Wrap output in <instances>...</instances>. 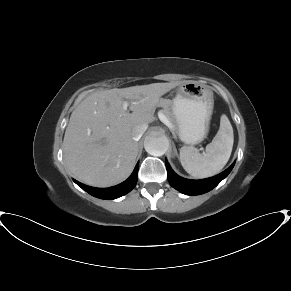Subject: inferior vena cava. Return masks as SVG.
<instances>
[{
    "label": "inferior vena cava",
    "instance_id": "602c4592",
    "mask_svg": "<svg viewBox=\"0 0 291 291\" xmlns=\"http://www.w3.org/2000/svg\"><path fill=\"white\" fill-rule=\"evenodd\" d=\"M147 126L146 125H137L132 129V138L135 141H138L144 132L146 131Z\"/></svg>",
    "mask_w": 291,
    "mask_h": 291
}]
</instances>
